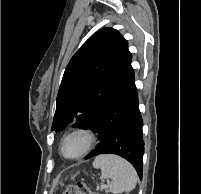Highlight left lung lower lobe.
<instances>
[{
	"label": "left lung lower lobe",
	"mask_w": 201,
	"mask_h": 194,
	"mask_svg": "<svg viewBox=\"0 0 201 194\" xmlns=\"http://www.w3.org/2000/svg\"><path fill=\"white\" fill-rule=\"evenodd\" d=\"M143 121L133 68L104 105L94 114L86 129L99 133L100 142L87 159L100 154H116L128 160L142 179Z\"/></svg>",
	"instance_id": "obj_1"
}]
</instances>
